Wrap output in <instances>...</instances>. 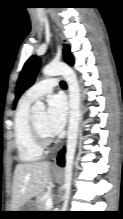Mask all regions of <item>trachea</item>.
Instances as JSON below:
<instances>
[{
  "label": "trachea",
  "mask_w": 123,
  "mask_h": 219,
  "mask_svg": "<svg viewBox=\"0 0 123 219\" xmlns=\"http://www.w3.org/2000/svg\"><path fill=\"white\" fill-rule=\"evenodd\" d=\"M60 85H61L62 88H66L67 87V85H66V83L64 81H61Z\"/></svg>",
  "instance_id": "obj_1"
}]
</instances>
